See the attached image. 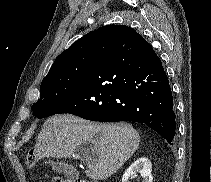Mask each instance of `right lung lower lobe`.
I'll use <instances>...</instances> for the list:
<instances>
[{
	"label": "right lung lower lobe",
	"mask_w": 211,
	"mask_h": 182,
	"mask_svg": "<svg viewBox=\"0 0 211 182\" xmlns=\"http://www.w3.org/2000/svg\"><path fill=\"white\" fill-rule=\"evenodd\" d=\"M60 113L142 123L174 142L173 97L161 60L145 39L133 43L122 26L102 27L85 81Z\"/></svg>",
	"instance_id": "1"
}]
</instances>
